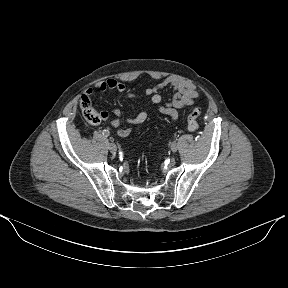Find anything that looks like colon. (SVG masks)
I'll list each match as a JSON object with an SVG mask.
<instances>
[{
  "label": "colon",
  "mask_w": 288,
  "mask_h": 288,
  "mask_svg": "<svg viewBox=\"0 0 288 288\" xmlns=\"http://www.w3.org/2000/svg\"><path fill=\"white\" fill-rule=\"evenodd\" d=\"M81 110L84 118L91 124H97L103 120V115L97 112L92 106L90 99L86 96H82ZM201 115V108L195 107L188 116L187 126L192 132L197 131L199 128L198 118Z\"/></svg>",
  "instance_id": "1"
}]
</instances>
